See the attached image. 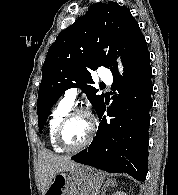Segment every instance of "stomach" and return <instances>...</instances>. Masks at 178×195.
Segmentation results:
<instances>
[{
  "mask_svg": "<svg viewBox=\"0 0 178 195\" xmlns=\"http://www.w3.org/2000/svg\"><path fill=\"white\" fill-rule=\"evenodd\" d=\"M102 171L78 165L69 171L56 174L45 194L55 195H97L104 182Z\"/></svg>",
  "mask_w": 178,
  "mask_h": 195,
  "instance_id": "1",
  "label": "stomach"
}]
</instances>
